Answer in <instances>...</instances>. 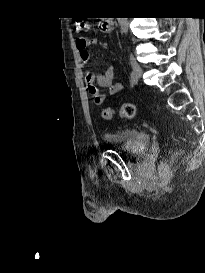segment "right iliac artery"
<instances>
[{"mask_svg": "<svg viewBox=\"0 0 205 273\" xmlns=\"http://www.w3.org/2000/svg\"><path fill=\"white\" fill-rule=\"evenodd\" d=\"M130 81H131L132 84L137 83V78L135 77L133 72H131V74H130Z\"/></svg>", "mask_w": 205, "mask_h": 273, "instance_id": "obj_1", "label": "right iliac artery"}]
</instances>
